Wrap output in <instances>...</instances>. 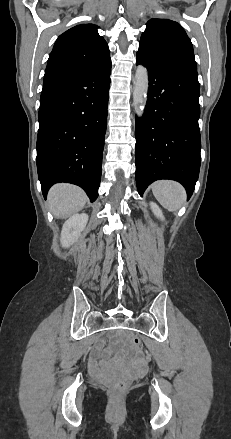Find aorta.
<instances>
[{
  "label": "aorta",
  "instance_id": "obj_1",
  "mask_svg": "<svg viewBox=\"0 0 231 439\" xmlns=\"http://www.w3.org/2000/svg\"><path fill=\"white\" fill-rule=\"evenodd\" d=\"M148 71L140 65L137 67L134 78L133 105L138 117H141L147 102Z\"/></svg>",
  "mask_w": 231,
  "mask_h": 439
}]
</instances>
